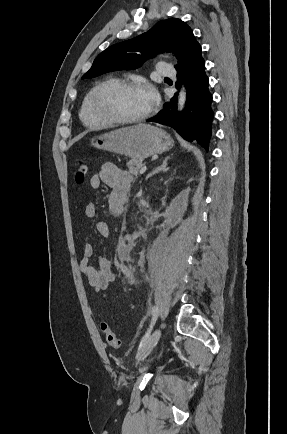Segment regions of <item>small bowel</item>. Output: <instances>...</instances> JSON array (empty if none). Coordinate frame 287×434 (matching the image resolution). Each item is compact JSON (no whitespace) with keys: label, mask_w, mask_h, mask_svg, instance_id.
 Wrapping results in <instances>:
<instances>
[{"label":"small bowel","mask_w":287,"mask_h":434,"mask_svg":"<svg viewBox=\"0 0 287 434\" xmlns=\"http://www.w3.org/2000/svg\"><path fill=\"white\" fill-rule=\"evenodd\" d=\"M131 179V174L118 165L114 163H104L100 171L90 177L89 186L92 189H99L102 185L108 187V210L112 216L118 217L124 212ZM84 216L89 220H96L98 216V206L93 202L86 204L84 207ZM95 228L97 233L102 237L111 236V227L107 222L96 221ZM94 253V245L91 242H85L79 270L93 290L104 295V292L114 281L115 274L110 262L104 256H99L97 263L94 264L92 262Z\"/></svg>","instance_id":"small-bowel-1"}]
</instances>
